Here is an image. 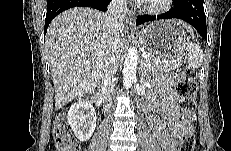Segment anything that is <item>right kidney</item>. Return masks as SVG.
I'll return each instance as SVG.
<instances>
[{"mask_svg": "<svg viewBox=\"0 0 231 151\" xmlns=\"http://www.w3.org/2000/svg\"><path fill=\"white\" fill-rule=\"evenodd\" d=\"M67 120L80 142L91 138L96 127V113L91 104L85 100L77 101L70 107Z\"/></svg>", "mask_w": 231, "mask_h": 151, "instance_id": "1", "label": "right kidney"}]
</instances>
